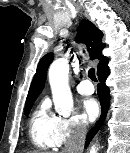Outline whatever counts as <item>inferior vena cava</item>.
Wrapping results in <instances>:
<instances>
[{
    "instance_id": "inferior-vena-cava-1",
    "label": "inferior vena cava",
    "mask_w": 130,
    "mask_h": 153,
    "mask_svg": "<svg viewBox=\"0 0 130 153\" xmlns=\"http://www.w3.org/2000/svg\"><path fill=\"white\" fill-rule=\"evenodd\" d=\"M87 127L83 122L78 123L65 142L62 153H82Z\"/></svg>"
}]
</instances>
